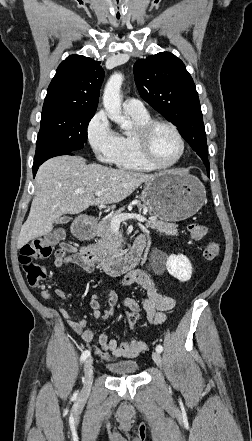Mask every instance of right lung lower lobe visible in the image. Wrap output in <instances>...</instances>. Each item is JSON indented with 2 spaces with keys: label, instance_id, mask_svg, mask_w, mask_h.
<instances>
[{
  "label": "right lung lower lobe",
  "instance_id": "1",
  "mask_svg": "<svg viewBox=\"0 0 252 441\" xmlns=\"http://www.w3.org/2000/svg\"><path fill=\"white\" fill-rule=\"evenodd\" d=\"M73 154V152H67V153H65L64 155H72ZM46 161V160H45ZM44 161H41V162H39V163H34L33 164V176L35 177V175H36V172H37V170H38V168H39V166L43 163Z\"/></svg>",
  "mask_w": 252,
  "mask_h": 441
}]
</instances>
